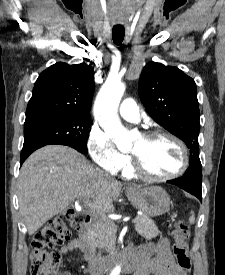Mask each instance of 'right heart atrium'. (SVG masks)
I'll use <instances>...</instances> for the list:
<instances>
[{"mask_svg":"<svg viewBox=\"0 0 225 275\" xmlns=\"http://www.w3.org/2000/svg\"><path fill=\"white\" fill-rule=\"evenodd\" d=\"M88 150L101 169L117 172L129 166L130 157L119 151L110 136L96 125L89 132Z\"/></svg>","mask_w":225,"mask_h":275,"instance_id":"1","label":"right heart atrium"}]
</instances>
